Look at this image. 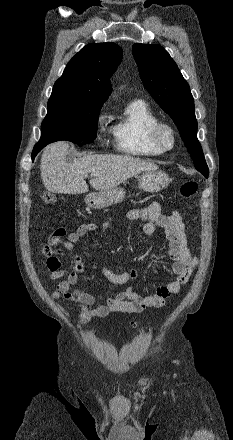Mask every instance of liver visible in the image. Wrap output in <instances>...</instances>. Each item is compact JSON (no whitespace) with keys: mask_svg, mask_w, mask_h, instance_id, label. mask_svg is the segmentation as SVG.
<instances>
[{"mask_svg":"<svg viewBox=\"0 0 233 440\" xmlns=\"http://www.w3.org/2000/svg\"><path fill=\"white\" fill-rule=\"evenodd\" d=\"M69 144L59 141L48 145L41 157V179L53 193L82 194L89 191L85 177L90 173V185L97 191L117 187L141 172L157 170L150 161L126 155H85L66 162Z\"/></svg>","mask_w":233,"mask_h":440,"instance_id":"obj_1","label":"liver"}]
</instances>
